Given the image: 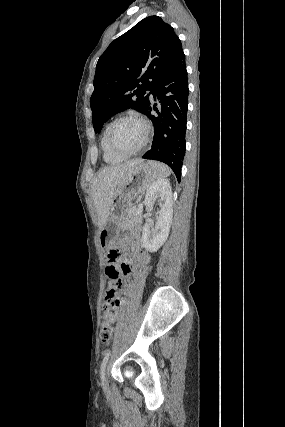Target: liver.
Wrapping results in <instances>:
<instances>
[{
	"mask_svg": "<svg viewBox=\"0 0 285 427\" xmlns=\"http://www.w3.org/2000/svg\"><path fill=\"white\" fill-rule=\"evenodd\" d=\"M140 162H142L140 159L131 160L103 168L98 173L91 186V195L98 216L99 231L108 219L111 203L119 186L126 180L131 169Z\"/></svg>",
	"mask_w": 285,
	"mask_h": 427,
	"instance_id": "1",
	"label": "liver"
}]
</instances>
